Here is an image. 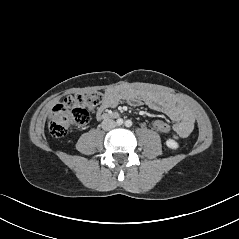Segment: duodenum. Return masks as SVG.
<instances>
[{"label": "duodenum", "mask_w": 239, "mask_h": 239, "mask_svg": "<svg viewBox=\"0 0 239 239\" xmlns=\"http://www.w3.org/2000/svg\"><path fill=\"white\" fill-rule=\"evenodd\" d=\"M118 116L117 113H106L102 116L103 119H109V118H116Z\"/></svg>", "instance_id": "410a0bca"}]
</instances>
